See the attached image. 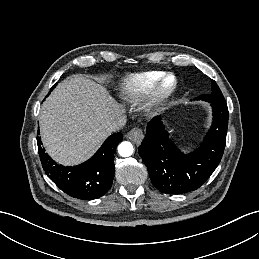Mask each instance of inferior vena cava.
Segmentation results:
<instances>
[{"label":"inferior vena cava","instance_id":"inferior-vena-cava-1","mask_svg":"<svg viewBox=\"0 0 259 259\" xmlns=\"http://www.w3.org/2000/svg\"><path fill=\"white\" fill-rule=\"evenodd\" d=\"M125 123L126 120L124 117H117L109 123L108 129L110 132L119 131L125 125Z\"/></svg>","mask_w":259,"mask_h":259}]
</instances>
